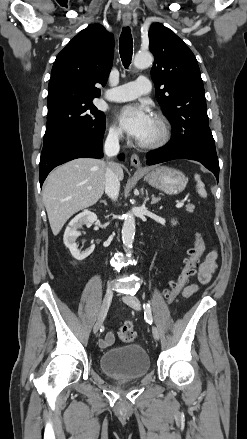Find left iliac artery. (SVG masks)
Listing matches in <instances>:
<instances>
[{
    "label": "left iliac artery",
    "instance_id": "44dca946",
    "mask_svg": "<svg viewBox=\"0 0 247 439\" xmlns=\"http://www.w3.org/2000/svg\"><path fill=\"white\" fill-rule=\"evenodd\" d=\"M144 307V314H145V319L152 324L153 322V317H152V311H151V306L149 303H144L143 304Z\"/></svg>",
    "mask_w": 247,
    "mask_h": 439
}]
</instances>
